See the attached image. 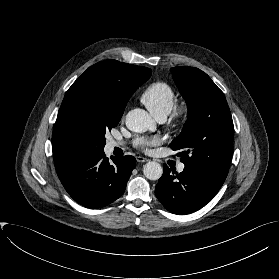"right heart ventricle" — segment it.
<instances>
[{
	"instance_id": "right-heart-ventricle-1",
	"label": "right heart ventricle",
	"mask_w": 279,
	"mask_h": 279,
	"mask_svg": "<svg viewBox=\"0 0 279 279\" xmlns=\"http://www.w3.org/2000/svg\"><path fill=\"white\" fill-rule=\"evenodd\" d=\"M175 92L166 82L157 81L150 84L142 93L141 101L156 118L167 116L175 104Z\"/></svg>"
}]
</instances>
